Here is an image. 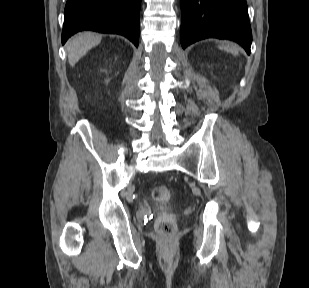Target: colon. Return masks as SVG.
Returning <instances> with one entry per match:
<instances>
[{
  "label": "colon",
  "instance_id": "colon-1",
  "mask_svg": "<svg viewBox=\"0 0 309 288\" xmlns=\"http://www.w3.org/2000/svg\"><path fill=\"white\" fill-rule=\"evenodd\" d=\"M153 198L156 201H167L171 197V190L169 187L161 185L157 186L152 193ZM156 229L160 236L171 237L176 232V222L172 214H163L156 223Z\"/></svg>",
  "mask_w": 309,
  "mask_h": 288
}]
</instances>
